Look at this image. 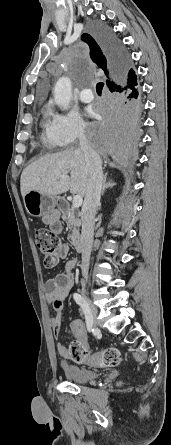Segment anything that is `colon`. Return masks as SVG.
<instances>
[{
    "mask_svg": "<svg viewBox=\"0 0 171 445\" xmlns=\"http://www.w3.org/2000/svg\"><path fill=\"white\" fill-rule=\"evenodd\" d=\"M35 239L43 255L44 266L52 268L58 265L61 259L59 255L61 243L58 235L48 229L39 228L35 230ZM69 350L71 359L78 363L88 362L98 367H114L121 362V354L115 347H108L90 354L87 346L74 341Z\"/></svg>",
    "mask_w": 171,
    "mask_h": 445,
    "instance_id": "colon-1",
    "label": "colon"
}]
</instances>
